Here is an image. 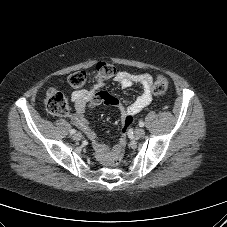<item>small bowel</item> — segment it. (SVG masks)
<instances>
[{
  "mask_svg": "<svg viewBox=\"0 0 227 227\" xmlns=\"http://www.w3.org/2000/svg\"><path fill=\"white\" fill-rule=\"evenodd\" d=\"M114 80L119 83L122 88H129L135 84H138L142 88V93L128 106H124L117 98L106 92H100L93 95V91L99 88L102 83H96L90 90L74 91L71 96V99L74 103V114L72 115V121L92 141L97 159L104 165L110 163L118 147L121 145L124 146V138L121 137L114 145L99 142L95 132L90 127L85 117V110L88 102H90V105L92 106L99 103H104L117 107L121 112L123 125H125L127 118L134 117L151 103L153 95V79L148 73L133 74L127 71H119L115 75Z\"/></svg>",
  "mask_w": 227,
  "mask_h": 227,
  "instance_id": "1",
  "label": "small bowel"
}]
</instances>
